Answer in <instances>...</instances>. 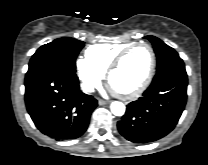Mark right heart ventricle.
<instances>
[{
    "instance_id": "1",
    "label": "right heart ventricle",
    "mask_w": 208,
    "mask_h": 165,
    "mask_svg": "<svg viewBox=\"0 0 208 165\" xmlns=\"http://www.w3.org/2000/svg\"><path fill=\"white\" fill-rule=\"evenodd\" d=\"M132 43H97L85 50V58L102 74L117 54Z\"/></svg>"
}]
</instances>
